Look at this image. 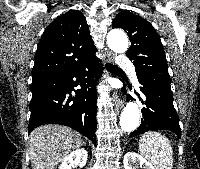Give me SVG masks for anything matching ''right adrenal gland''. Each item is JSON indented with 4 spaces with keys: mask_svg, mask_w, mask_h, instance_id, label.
<instances>
[{
    "mask_svg": "<svg viewBox=\"0 0 200 169\" xmlns=\"http://www.w3.org/2000/svg\"><path fill=\"white\" fill-rule=\"evenodd\" d=\"M82 145H86V143H85V142H82Z\"/></svg>",
    "mask_w": 200,
    "mask_h": 169,
    "instance_id": "obj_1",
    "label": "right adrenal gland"
}]
</instances>
